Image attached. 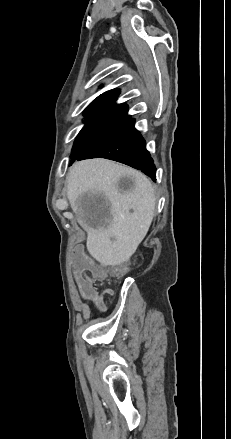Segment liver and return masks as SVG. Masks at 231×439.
<instances>
[{
    "mask_svg": "<svg viewBox=\"0 0 231 439\" xmlns=\"http://www.w3.org/2000/svg\"><path fill=\"white\" fill-rule=\"evenodd\" d=\"M134 186L129 192L118 189L121 177ZM67 198L79 224L87 232V250L103 266L120 265L137 250L146 236L156 207L155 188L140 171L107 159L75 163L68 173ZM102 194L109 202L100 216L86 217L81 198Z\"/></svg>",
    "mask_w": 231,
    "mask_h": 439,
    "instance_id": "obj_1",
    "label": "liver"
}]
</instances>
